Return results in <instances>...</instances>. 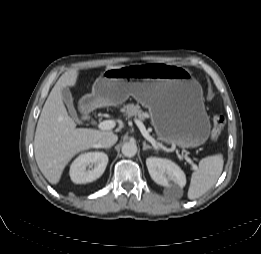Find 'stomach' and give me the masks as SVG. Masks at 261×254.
<instances>
[{"instance_id": "0dacf381", "label": "stomach", "mask_w": 261, "mask_h": 254, "mask_svg": "<svg viewBox=\"0 0 261 254\" xmlns=\"http://www.w3.org/2000/svg\"><path fill=\"white\" fill-rule=\"evenodd\" d=\"M129 96L148 108L160 141L181 148L207 141L211 125L202 87L185 67L151 63L106 69L83 100L95 108L122 104Z\"/></svg>"}]
</instances>
